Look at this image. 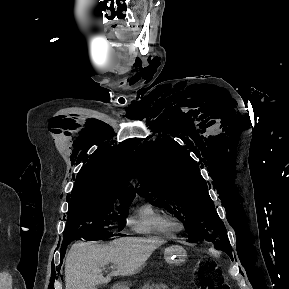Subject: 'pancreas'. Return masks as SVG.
I'll return each mask as SVG.
<instances>
[{
	"mask_svg": "<svg viewBox=\"0 0 289 289\" xmlns=\"http://www.w3.org/2000/svg\"><path fill=\"white\" fill-rule=\"evenodd\" d=\"M142 289H165L163 284H145Z\"/></svg>",
	"mask_w": 289,
	"mask_h": 289,
	"instance_id": "pancreas-1",
	"label": "pancreas"
}]
</instances>
